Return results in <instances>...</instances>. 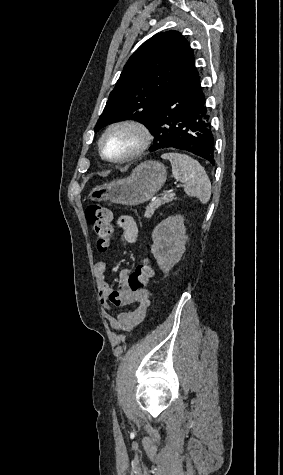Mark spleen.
Instances as JSON below:
<instances>
[{
	"instance_id": "spleen-1",
	"label": "spleen",
	"mask_w": 283,
	"mask_h": 475,
	"mask_svg": "<svg viewBox=\"0 0 283 475\" xmlns=\"http://www.w3.org/2000/svg\"><path fill=\"white\" fill-rule=\"evenodd\" d=\"M163 160H169L175 180L184 184V192L191 198H198L201 204H207L211 196V182L197 160L186 154H163Z\"/></svg>"
}]
</instances>
